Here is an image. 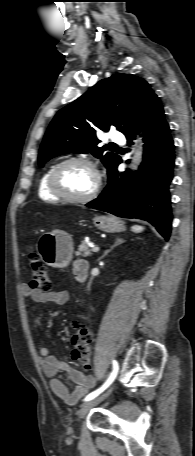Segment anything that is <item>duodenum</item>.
<instances>
[{"label": "duodenum", "mask_w": 195, "mask_h": 456, "mask_svg": "<svg viewBox=\"0 0 195 456\" xmlns=\"http://www.w3.org/2000/svg\"><path fill=\"white\" fill-rule=\"evenodd\" d=\"M87 272H88V263L85 261L80 265V267L77 270L76 277L79 281H85L87 278Z\"/></svg>", "instance_id": "1"}]
</instances>
